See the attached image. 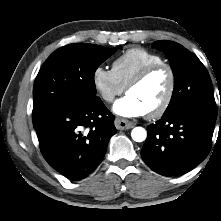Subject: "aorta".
I'll return each mask as SVG.
<instances>
[{
	"label": "aorta",
	"instance_id": "obj_1",
	"mask_svg": "<svg viewBox=\"0 0 221 221\" xmlns=\"http://www.w3.org/2000/svg\"><path fill=\"white\" fill-rule=\"evenodd\" d=\"M131 137L136 142H143L147 137V132L143 127H135L131 132Z\"/></svg>",
	"mask_w": 221,
	"mask_h": 221
}]
</instances>
